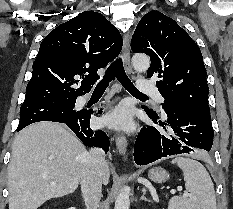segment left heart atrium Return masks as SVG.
<instances>
[{
    "instance_id": "left-heart-atrium-1",
    "label": "left heart atrium",
    "mask_w": 233,
    "mask_h": 209,
    "mask_svg": "<svg viewBox=\"0 0 233 209\" xmlns=\"http://www.w3.org/2000/svg\"><path fill=\"white\" fill-rule=\"evenodd\" d=\"M103 121L105 124L112 127L128 129L132 126L131 110L127 106H119L108 114Z\"/></svg>"
}]
</instances>
